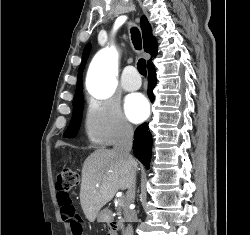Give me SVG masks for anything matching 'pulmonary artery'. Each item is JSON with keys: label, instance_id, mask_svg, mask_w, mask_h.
<instances>
[{"label": "pulmonary artery", "instance_id": "pulmonary-artery-1", "mask_svg": "<svg viewBox=\"0 0 250 235\" xmlns=\"http://www.w3.org/2000/svg\"><path fill=\"white\" fill-rule=\"evenodd\" d=\"M121 85L126 91L137 90L141 85V78L137 75L133 66H128L122 73Z\"/></svg>", "mask_w": 250, "mask_h": 235}]
</instances>
